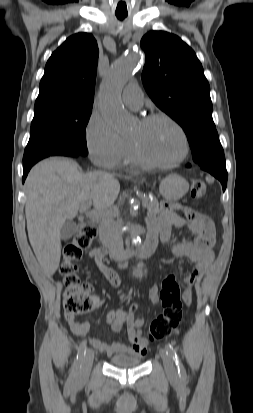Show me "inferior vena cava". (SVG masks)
Listing matches in <instances>:
<instances>
[{"mask_svg": "<svg viewBox=\"0 0 253 413\" xmlns=\"http://www.w3.org/2000/svg\"><path fill=\"white\" fill-rule=\"evenodd\" d=\"M99 235L112 252L121 253L123 251V239L110 219H103L99 225Z\"/></svg>", "mask_w": 253, "mask_h": 413, "instance_id": "1", "label": "inferior vena cava"}]
</instances>
